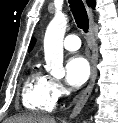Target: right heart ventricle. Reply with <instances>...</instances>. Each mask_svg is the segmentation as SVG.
Listing matches in <instances>:
<instances>
[{"label": "right heart ventricle", "instance_id": "right-heart-ventricle-1", "mask_svg": "<svg viewBox=\"0 0 118 123\" xmlns=\"http://www.w3.org/2000/svg\"><path fill=\"white\" fill-rule=\"evenodd\" d=\"M56 101L50 91L49 78L37 70L31 71L23 86L24 106L36 112H50L54 109Z\"/></svg>", "mask_w": 118, "mask_h": 123}]
</instances>
